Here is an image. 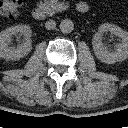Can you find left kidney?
I'll return each mask as SVG.
<instances>
[{
    "mask_svg": "<svg viewBox=\"0 0 128 128\" xmlns=\"http://www.w3.org/2000/svg\"><path fill=\"white\" fill-rule=\"evenodd\" d=\"M104 32H110L121 41L119 44H116L113 51L108 50L102 42V34ZM92 45L95 56L107 64L121 62L128 58V32L114 24L104 23L100 25L98 32L92 39Z\"/></svg>",
    "mask_w": 128,
    "mask_h": 128,
    "instance_id": "left-kidney-1",
    "label": "left kidney"
}]
</instances>
